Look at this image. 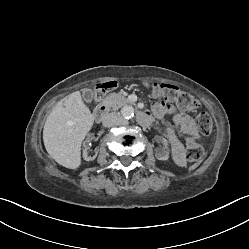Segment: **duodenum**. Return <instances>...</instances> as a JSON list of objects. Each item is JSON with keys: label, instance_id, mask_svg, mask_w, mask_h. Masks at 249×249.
I'll use <instances>...</instances> for the list:
<instances>
[{"label": "duodenum", "instance_id": "1", "mask_svg": "<svg viewBox=\"0 0 249 249\" xmlns=\"http://www.w3.org/2000/svg\"><path fill=\"white\" fill-rule=\"evenodd\" d=\"M107 110H108L107 104L105 102H101L100 104L97 105V107L94 110V113H93L94 118L97 121H101L105 117ZM137 121L142 126H148L150 124V119L143 112L138 113Z\"/></svg>", "mask_w": 249, "mask_h": 249}]
</instances>
